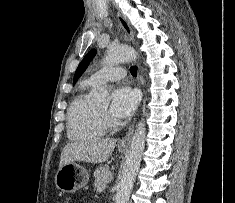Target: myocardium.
<instances>
[{
    "instance_id": "obj_1",
    "label": "myocardium",
    "mask_w": 235,
    "mask_h": 203,
    "mask_svg": "<svg viewBox=\"0 0 235 203\" xmlns=\"http://www.w3.org/2000/svg\"><path fill=\"white\" fill-rule=\"evenodd\" d=\"M100 118L105 126V128H113L114 123L113 121L109 118L108 114L106 111H103L102 109L98 108Z\"/></svg>"
}]
</instances>
